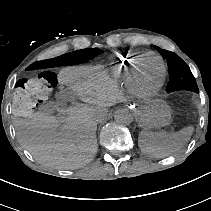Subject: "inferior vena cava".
<instances>
[{"mask_svg": "<svg viewBox=\"0 0 211 211\" xmlns=\"http://www.w3.org/2000/svg\"><path fill=\"white\" fill-rule=\"evenodd\" d=\"M96 117H97V121H100L102 119V113H98Z\"/></svg>", "mask_w": 211, "mask_h": 211, "instance_id": "602c4592", "label": "inferior vena cava"}]
</instances>
